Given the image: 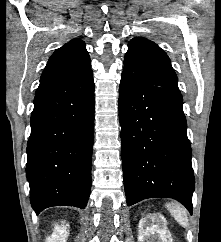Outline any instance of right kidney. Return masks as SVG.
Here are the masks:
<instances>
[{"label":"right kidney","mask_w":221,"mask_h":242,"mask_svg":"<svg viewBox=\"0 0 221 242\" xmlns=\"http://www.w3.org/2000/svg\"><path fill=\"white\" fill-rule=\"evenodd\" d=\"M69 225L62 222V225H55L54 232L47 239V242H66L69 235Z\"/></svg>","instance_id":"1"}]
</instances>
